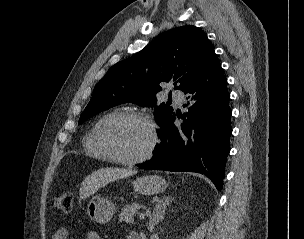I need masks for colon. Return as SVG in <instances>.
Returning <instances> with one entry per match:
<instances>
[{
  "label": "colon",
  "mask_w": 304,
  "mask_h": 239,
  "mask_svg": "<svg viewBox=\"0 0 304 239\" xmlns=\"http://www.w3.org/2000/svg\"><path fill=\"white\" fill-rule=\"evenodd\" d=\"M56 209L64 213H71L74 207V196L71 193L57 195L53 200Z\"/></svg>",
  "instance_id": "obj_1"
}]
</instances>
